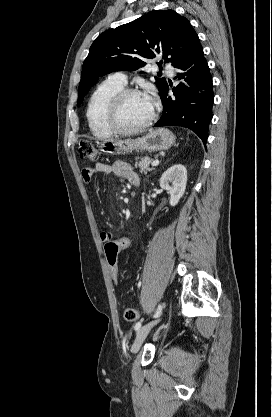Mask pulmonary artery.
Here are the masks:
<instances>
[{
    "label": "pulmonary artery",
    "instance_id": "pulmonary-artery-1",
    "mask_svg": "<svg viewBox=\"0 0 272 417\" xmlns=\"http://www.w3.org/2000/svg\"><path fill=\"white\" fill-rule=\"evenodd\" d=\"M166 68L170 74H173V70L169 65H166ZM111 78L124 86L127 84V77L123 72H115Z\"/></svg>",
    "mask_w": 272,
    "mask_h": 417
}]
</instances>
